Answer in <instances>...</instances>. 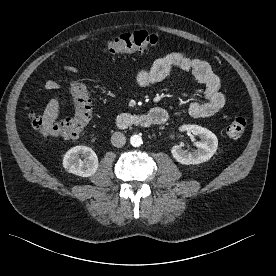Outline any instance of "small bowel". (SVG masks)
<instances>
[{
    "label": "small bowel",
    "mask_w": 276,
    "mask_h": 276,
    "mask_svg": "<svg viewBox=\"0 0 276 276\" xmlns=\"http://www.w3.org/2000/svg\"><path fill=\"white\" fill-rule=\"evenodd\" d=\"M64 69L72 74L77 73V69L70 65H66ZM173 70L190 72L204 85V101H194L188 105V112L191 116L209 117L217 113L224 106L225 99L220 92V80L213 72L211 66L206 61L191 57L183 52L167 54L157 59L151 67L139 71L136 75L137 84L142 88H148L165 79ZM62 84L63 80H48L44 83L43 87L47 90H57ZM159 109L164 110L155 107L148 114H153Z\"/></svg>",
    "instance_id": "small-bowel-1"
}]
</instances>
